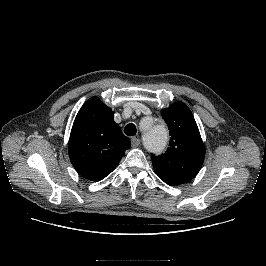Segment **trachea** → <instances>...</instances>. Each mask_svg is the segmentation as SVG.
I'll return each mask as SVG.
<instances>
[{
    "label": "trachea",
    "instance_id": "3493384b",
    "mask_svg": "<svg viewBox=\"0 0 266 266\" xmlns=\"http://www.w3.org/2000/svg\"><path fill=\"white\" fill-rule=\"evenodd\" d=\"M137 132L136 126L133 123H129L124 128V133L128 136H134Z\"/></svg>",
    "mask_w": 266,
    "mask_h": 266
}]
</instances>
